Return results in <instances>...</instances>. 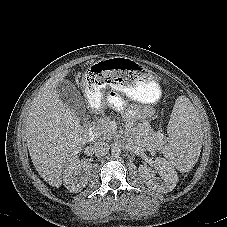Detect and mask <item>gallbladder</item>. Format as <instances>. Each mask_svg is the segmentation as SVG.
<instances>
[{"instance_id":"1","label":"gallbladder","mask_w":227,"mask_h":227,"mask_svg":"<svg viewBox=\"0 0 227 227\" xmlns=\"http://www.w3.org/2000/svg\"><path fill=\"white\" fill-rule=\"evenodd\" d=\"M59 99L77 115L85 111V102L76 86L67 79L59 82L56 87Z\"/></svg>"}]
</instances>
